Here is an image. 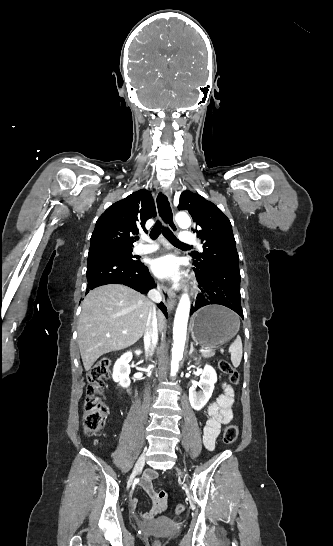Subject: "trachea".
Instances as JSON below:
<instances>
[{
  "label": "trachea",
  "mask_w": 333,
  "mask_h": 546,
  "mask_svg": "<svg viewBox=\"0 0 333 546\" xmlns=\"http://www.w3.org/2000/svg\"><path fill=\"white\" fill-rule=\"evenodd\" d=\"M161 232L172 245L177 247H189V245L180 242L169 228L163 226L162 223L157 220L150 232L151 239H156Z\"/></svg>",
  "instance_id": "obj_1"
}]
</instances>
